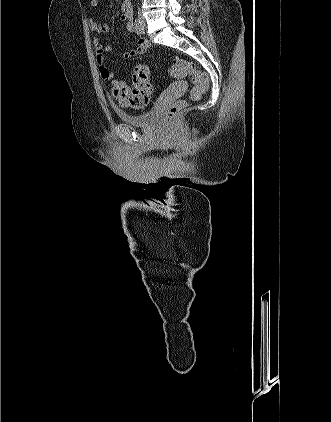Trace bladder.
Wrapping results in <instances>:
<instances>
[{
	"label": "bladder",
	"instance_id": "31cf9c89",
	"mask_svg": "<svg viewBox=\"0 0 331 422\" xmlns=\"http://www.w3.org/2000/svg\"><path fill=\"white\" fill-rule=\"evenodd\" d=\"M119 118L127 125L149 129L152 128L158 118V105L155 104L149 110L142 113L130 114L124 111H117Z\"/></svg>",
	"mask_w": 331,
	"mask_h": 422
}]
</instances>
